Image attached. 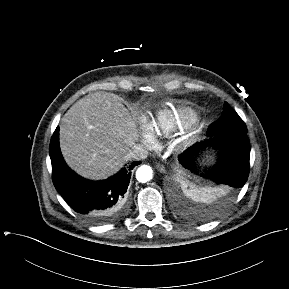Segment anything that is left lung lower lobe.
<instances>
[{"label": "left lung lower lobe", "mask_w": 289, "mask_h": 289, "mask_svg": "<svg viewBox=\"0 0 289 289\" xmlns=\"http://www.w3.org/2000/svg\"><path fill=\"white\" fill-rule=\"evenodd\" d=\"M208 136L214 137L185 150L178 156L179 162L198 174L195 164L198 153L208 145H222L225 157L216 168L207 171L205 177L222 186L227 194H233L245 184L249 175L250 144L246 132L230 131Z\"/></svg>", "instance_id": "left-lung-lower-lobe-1"}]
</instances>
